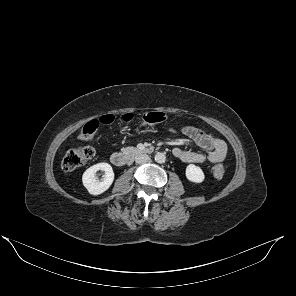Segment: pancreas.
<instances>
[{
	"instance_id": "cf45deb5",
	"label": "pancreas",
	"mask_w": 296,
	"mask_h": 296,
	"mask_svg": "<svg viewBox=\"0 0 296 296\" xmlns=\"http://www.w3.org/2000/svg\"><path fill=\"white\" fill-rule=\"evenodd\" d=\"M136 150V148L134 147H126V148H123L122 151L124 153H130V152H134Z\"/></svg>"
}]
</instances>
